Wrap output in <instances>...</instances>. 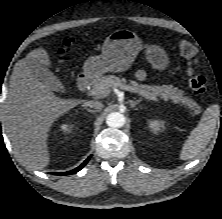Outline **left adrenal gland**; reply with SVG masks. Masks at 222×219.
Listing matches in <instances>:
<instances>
[{"mask_svg":"<svg viewBox=\"0 0 222 219\" xmlns=\"http://www.w3.org/2000/svg\"><path fill=\"white\" fill-rule=\"evenodd\" d=\"M140 101H141V100H136V101L129 100V103H130L131 108H134L137 104L140 103Z\"/></svg>","mask_w":222,"mask_h":219,"instance_id":"left-adrenal-gland-1","label":"left adrenal gland"}]
</instances>
